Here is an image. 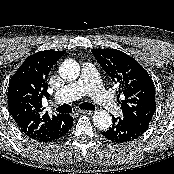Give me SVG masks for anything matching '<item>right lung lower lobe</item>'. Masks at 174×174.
Returning <instances> with one entry per match:
<instances>
[{"mask_svg":"<svg viewBox=\"0 0 174 174\" xmlns=\"http://www.w3.org/2000/svg\"><path fill=\"white\" fill-rule=\"evenodd\" d=\"M73 125V118L71 117V121L68 125H66L64 128L60 129L57 133L53 134L50 137H46L40 140H37L39 142H51V141H56L60 138H62L64 135H66L68 133V131L70 130V128Z\"/></svg>","mask_w":174,"mask_h":174,"instance_id":"1","label":"right lung lower lobe"}]
</instances>
